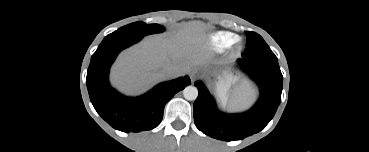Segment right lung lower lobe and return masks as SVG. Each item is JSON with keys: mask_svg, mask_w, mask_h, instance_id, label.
Here are the masks:
<instances>
[{"mask_svg": "<svg viewBox=\"0 0 369 152\" xmlns=\"http://www.w3.org/2000/svg\"><path fill=\"white\" fill-rule=\"evenodd\" d=\"M143 37L112 34L104 38L92 55L87 72V88L97 113L113 128L123 132H140L157 127L165 104L190 84L188 76L164 82L143 96L129 98L111 88L109 68L118 53Z\"/></svg>", "mask_w": 369, "mask_h": 152, "instance_id": "98d812e1", "label": "right lung lower lobe"}]
</instances>
